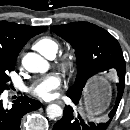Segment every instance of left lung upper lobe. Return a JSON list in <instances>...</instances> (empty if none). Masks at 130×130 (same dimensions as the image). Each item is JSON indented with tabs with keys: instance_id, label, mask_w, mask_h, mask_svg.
Returning a JSON list of instances; mask_svg holds the SVG:
<instances>
[{
	"instance_id": "left-lung-upper-lobe-1",
	"label": "left lung upper lobe",
	"mask_w": 130,
	"mask_h": 130,
	"mask_svg": "<svg viewBox=\"0 0 130 130\" xmlns=\"http://www.w3.org/2000/svg\"><path fill=\"white\" fill-rule=\"evenodd\" d=\"M51 30L69 42L77 56V76L75 83L67 91V96L80 98L83 89L94 82L96 76L109 69L118 72L119 84L117 101L124 91L125 60L118 41L103 28L88 22H73L55 25Z\"/></svg>"
}]
</instances>
